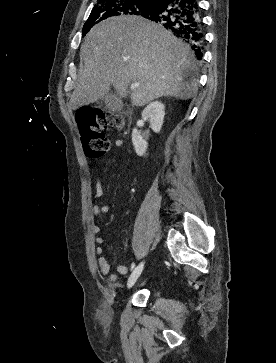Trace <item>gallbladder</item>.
<instances>
[{"instance_id": "obj_1", "label": "gallbladder", "mask_w": 276, "mask_h": 363, "mask_svg": "<svg viewBox=\"0 0 276 363\" xmlns=\"http://www.w3.org/2000/svg\"><path fill=\"white\" fill-rule=\"evenodd\" d=\"M100 103L104 104L105 107L112 112H119L123 108V103L121 99L113 93H109L106 97L101 99Z\"/></svg>"}]
</instances>
